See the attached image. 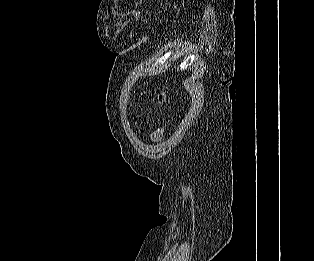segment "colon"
<instances>
[{
    "mask_svg": "<svg viewBox=\"0 0 314 261\" xmlns=\"http://www.w3.org/2000/svg\"><path fill=\"white\" fill-rule=\"evenodd\" d=\"M158 100L160 103H163L166 101V94L164 92H161L159 95H158Z\"/></svg>",
    "mask_w": 314,
    "mask_h": 261,
    "instance_id": "colon-1",
    "label": "colon"
}]
</instances>
